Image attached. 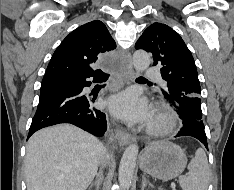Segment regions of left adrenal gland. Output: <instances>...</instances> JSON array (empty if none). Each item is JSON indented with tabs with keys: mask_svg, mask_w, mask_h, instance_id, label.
<instances>
[{
	"mask_svg": "<svg viewBox=\"0 0 234 190\" xmlns=\"http://www.w3.org/2000/svg\"><path fill=\"white\" fill-rule=\"evenodd\" d=\"M153 187V185L146 179L145 175L142 176V188L144 190L146 186Z\"/></svg>",
	"mask_w": 234,
	"mask_h": 190,
	"instance_id": "1",
	"label": "left adrenal gland"
}]
</instances>
